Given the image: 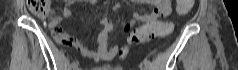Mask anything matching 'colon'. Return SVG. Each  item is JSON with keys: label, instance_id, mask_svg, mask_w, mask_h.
Returning <instances> with one entry per match:
<instances>
[{"label": "colon", "instance_id": "obj_1", "mask_svg": "<svg viewBox=\"0 0 238 70\" xmlns=\"http://www.w3.org/2000/svg\"><path fill=\"white\" fill-rule=\"evenodd\" d=\"M194 0H176L175 11L181 14H186L192 8ZM28 7L30 11L38 17L45 18L51 13L50 0H29ZM171 30L169 23L157 21V19H144V25L135 29L126 39V42L121 45L122 59L126 58L124 54L128 50L129 44L139 43L147 38L159 37L168 34ZM56 33H60L59 29H55Z\"/></svg>", "mask_w": 238, "mask_h": 70}]
</instances>
